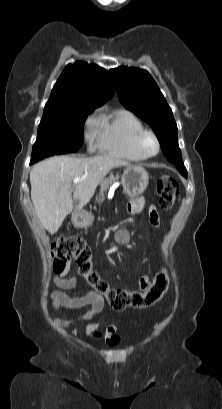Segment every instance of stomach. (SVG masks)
<instances>
[{
	"instance_id": "obj_1",
	"label": "stomach",
	"mask_w": 222,
	"mask_h": 409,
	"mask_svg": "<svg viewBox=\"0 0 222 409\" xmlns=\"http://www.w3.org/2000/svg\"><path fill=\"white\" fill-rule=\"evenodd\" d=\"M149 175L138 165L127 166L121 176L124 193L135 198L142 194L148 186ZM94 217L91 213L78 209L72 213L71 221L76 228H88L93 224Z\"/></svg>"
}]
</instances>
